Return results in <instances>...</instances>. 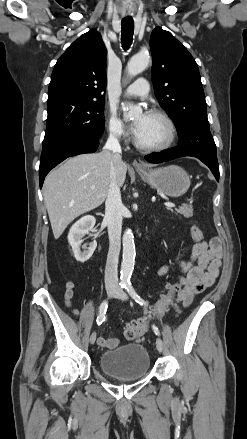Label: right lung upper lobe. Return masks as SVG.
Segmentation results:
<instances>
[{
  "mask_svg": "<svg viewBox=\"0 0 247 439\" xmlns=\"http://www.w3.org/2000/svg\"><path fill=\"white\" fill-rule=\"evenodd\" d=\"M106 48L101 35L90 30L74 41L54 67L48 106L66 100H105Z\"/></svg>",
  "mask_w": 247,
  "mask_h": 439,
  "instance_id": "right-lung-upper-lobe-1",
  "label": "right lung upper lobe"
}]
</instances>
